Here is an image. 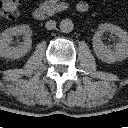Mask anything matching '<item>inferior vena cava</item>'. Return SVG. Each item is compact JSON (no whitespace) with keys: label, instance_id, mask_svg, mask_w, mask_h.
<instances>
[{"label":"inferior vena cava","instance_id":"obj_1","mask_svg":"<svg viewBox=\"0 0 128 128\" xmlns=\"http://www.w3.org/2000/svg\"><path fill=\"white\" fill-rule=\"evenodd\" d=\"M46 29L52 30L56 28V22L54 20H49L45 24Z\"/></svg>","mask_w":128,"mask_h":128}]
</instances>
